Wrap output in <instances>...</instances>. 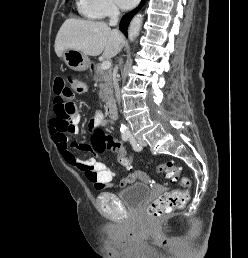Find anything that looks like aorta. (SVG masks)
Listing matches in <instances>:
<instances>
[{
    "instance_id": "1",
    "label": "aorta",
    "mask_w": 248,
    "mask_h": 258,
    "mask_svg": "<svg viewBox=\"0 0 248 258\" xmlns=\"http://www.w3.org/2000/svg\"><path fill=\"white\" fill-rule=\"evenodd\" d=\"M142 22H143V18L141 15H137L132 19L128 29V37L130 41H134L136 37L139 35ZM120 131L122 133H127L128 129L125 125H121Z\"/></svg>"
}]
</instances>
